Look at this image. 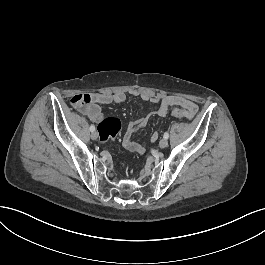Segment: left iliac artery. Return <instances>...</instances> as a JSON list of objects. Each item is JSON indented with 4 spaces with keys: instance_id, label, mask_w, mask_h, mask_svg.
<instances>
[{
    "instance_id": "44dca946",
    "label": "left iliac artery",
    "mask_w": 265,
    "mask_h": 265,
    "mask_svg": "<svg viewBox=\"0 0 265 265\" xmlns=\"http://www.w3.org/2000/svg\"><path fill=\"white\" fill-rule=\"evenodd\" d=\"M164 138H165V139H168V138H169V133H168V132H165V133H164Z\"/></svg>"
}]
</instances>
